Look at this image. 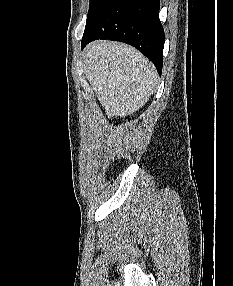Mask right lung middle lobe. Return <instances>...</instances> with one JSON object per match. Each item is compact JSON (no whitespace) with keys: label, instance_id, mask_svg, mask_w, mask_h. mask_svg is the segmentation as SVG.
I'll return each instance as SVG.
<instances>
[{"label":"right lung middle lobe","instance_id":"right-lung-middle-lobe-1","mask_svg":"<svg viewBox=\"0 0 233 286\" xmlns=\"http://www.w3.org/2000/svg\"><path fill=\"white\" fill-rule=\"evenodd\" d=\"M101 0H90V6L88 11V16L94 11V9L98 6ZM87 16V17H88Z\"/></svg>","mask_w":233,"mask_h":286}]
</instances>
